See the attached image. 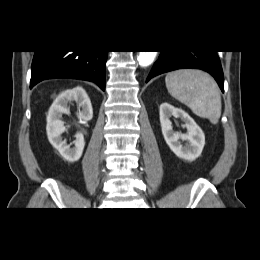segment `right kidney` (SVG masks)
I'll use <instances>...</instances> for the list:
<instances>
[{
    "mask_svg": "<svg viewBox=\"0 0 260 260\" xmlns=\"http://www.w3.org/2000/svg\"><path fill=\"white\" fill-rule=\"evenodd\" d=\"M76 101L79 105L77 117L79 120L89 121L93 117L91 101L82 87H75L60 94L49 109L47 116V136L51 145L58 150L60 155L69 162L80 159L83 153L85 141L82 133H76L74 147H70L62 134L67 131L61 120L63 114H69L68 104Z\"/></svg>",
    "mask_w": 260,
    "mask_h": 260,
    "instance_id": "obj_1",
    "label": "right kidney"
}]
</instances>
